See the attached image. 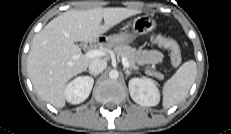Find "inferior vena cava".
Listing matches in <instances>:
<instances>
[{
    "label": "inferior vena cava",
    "instance_id": "1",
    "mask_svg": "<svg viewBox=\"0 0 231 134\" xmlns=\"http://www.w3.org/2000/svg\"><path fill=\"white\" fill-rule=\"evenodd\" d=\"M107 67V62L103 59H94L89 64V72L92 74H99Z\"/></svg>",
    "mask_w": 231,
    "mask_h": 134
}]
</instances>
